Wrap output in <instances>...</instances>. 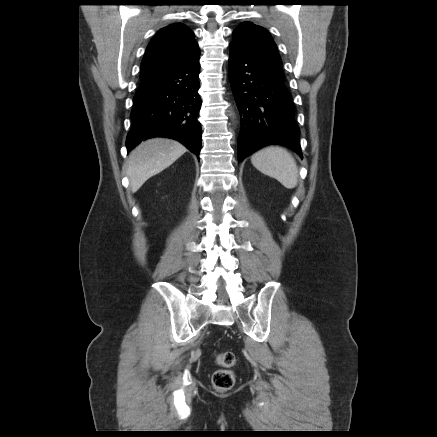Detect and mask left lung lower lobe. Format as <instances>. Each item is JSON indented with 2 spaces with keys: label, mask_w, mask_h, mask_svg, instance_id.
Here are the masks:
<instances>
[{
  "label": "left lung lower lobe",
  "mask_w": 437,
  "mask_h": 437,
  "mask_svg": "<svg viewBox=\"0 0 437 437\" xmlns=\"http://www.w3.org/2000/svg\"><path fill=\"white\" fill-rule=\"evenodd\" d=\"M229 79L241 116L238 160L270 144L285 145L301 157L299 127L284 80L240 49L229 46Z\"/></svg>",
  "instance_id": "1"
}]
</instances>
